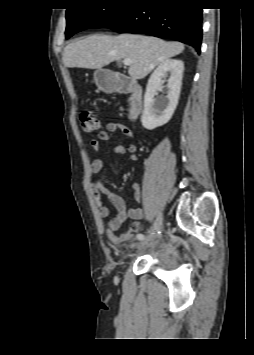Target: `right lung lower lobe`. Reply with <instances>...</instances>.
Here are the masks:
<instances>
[{"label":"right lung lower lobe","instance_id":"obj_1","mask_svg":"<svg viewBox=\"0 0 254 355\" xmlns=\"http://www.w3.org/2000/svg\"><path fill=\"white\" fill-rule=\"evenodd\" d=\"M123 33H144L190 44L200 53L202 8L198 0H139L105 26Z\"/></svg>","mask_w":254,"mask_h":355}]
</instances>
